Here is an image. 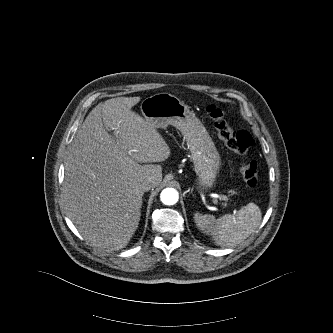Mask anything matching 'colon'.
<instances>
[{
  "label": "colon",
  "mask_w": 333,
  "mask_h": 333,
  "mask_svg": "<svg viewBox=\"0 0 333 333\" xmlns=\"http://www.w3.org/2000/svg\"><path fill=\"white\" fill-rule=\"evenodd\" d=\"M205 112L212 119L219 137L230 149L244 156L254 146V139L249 132L233 131L229 128L222 108L211 104L206 107ZM240 172L248 187L257 186V163L255 161L244 160L240 165Z\"/></svg>",
  "instance_id": "colon-1"
}]
</instances>
